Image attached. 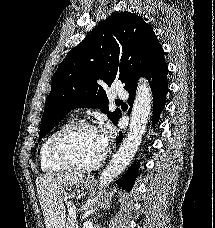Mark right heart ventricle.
<instances>
[{
    "mask_svg": "<svg viewBox=\"0 0 215 228\" xmlns=\"http://www.w3.org/2000/svg\"><path fill=\"white\" fill-rule=\"evenodd\" d=\"M73 122V119L70 118L55 129L51 130L47 136L44 138L39 151L40 167L43 172L46 173H55L62 171V169L56 167L49 158V147L53 138L60 132L63 128L68 126Z\"/></svg>",
    "mask_w": 215,
    "mask_h": 228,
    "instance_id": "obj_1",
    "label": "right heart ventricle"
}]
</instances>
